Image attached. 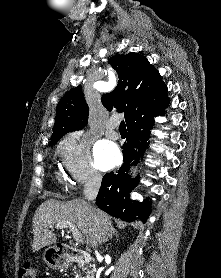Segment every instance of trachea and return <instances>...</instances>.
<instances>
[{
	"instance_id": "3493384b",
	"label": "trachea",
	"mask_w": 221,
	"mask_h": 278,
	"mask_svg": "<svg viewBox=\"0 0 221 278\" xmlns=\"http://www.w3.org/2000/svg\"><path fill=\"white\" fill-rule=\"evenodd\" d=\"M119 131L121 132H124L126 131V125H125V122L124 121H121L120 123V126H119Z\"/></svg>"
}]
</instances>
